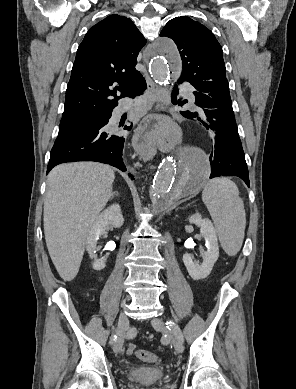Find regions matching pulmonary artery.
<instances>
[{
  "label": "pulmonary artery",
  "mask_w": 296,
  "mask_h": 389,
  "mask_svg": "<svg viewBox=\"0 0 296 389\" xmlns=\"http://www.w3.org/2000/svg\"><path fill=\"white\" fill-rule=\"evenodd\" d=\"M184 92H185L186 97H188L189 100L192 101V100H193V99H192V95H191V93L188 91V89H185Z\"/></svg>",
  "instance_id": "pulmonary-artery-1"
}]
</instances>
